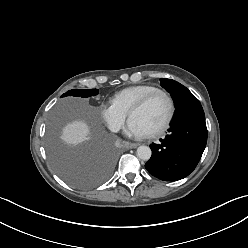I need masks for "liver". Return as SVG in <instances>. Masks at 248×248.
<instances>
[{"instance_id": "obj_1", "label": "liver", "mask_w": 248, "mask_h": 248, "mask_svg": "<svg viewBox=\"0 0 248 248\" xmlns=\"http://www.w3.org/2000/svg\"><path fill=\"white\" fill-rule=\"evenodd\" d=\"M90 127L82 121L76 120L68 123L62 130V140L71 145L82 144L90 138Z\"/></svg>"}]
</instances>
